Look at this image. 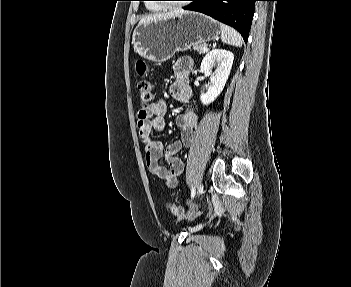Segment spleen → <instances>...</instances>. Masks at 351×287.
<instances>
[{
  "instance_id": "1",
  "label": "spleen",
  "mask_w": 351,
  "mask_h": 287,
  "mask_svg": "<svg viewBox=\"0 0 351 287\" xmlns=\"http://www.w3.org/2000/svg\"><path fill=\"white\" fill-rule=\"evenodd\" d=\"M221 40L223 43L241 47L243 44L241 35L232 27L221 24Z\"/></svg>"
}]
</instances>
